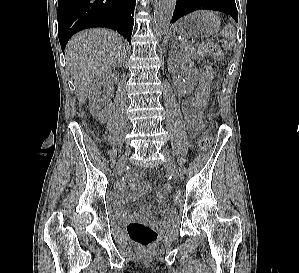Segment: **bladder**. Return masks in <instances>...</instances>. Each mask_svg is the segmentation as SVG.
<instances>
[{"label":"bladder","instance_id":"obj_1","mask_svg":"<svg viewBox=\"0 0 299 273\" xmlns=\"http://www.w3.org/2000/svg\"><path fill=\"white\" fill-rule=\"evenodd\" d=\"M116 220L118 221V222H121V221H124L125 220V217L124 216H122V215H116Z\"/></svg>","mask_w":299,"mask_h":273}]
</instances>
